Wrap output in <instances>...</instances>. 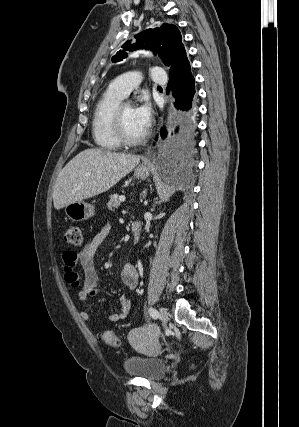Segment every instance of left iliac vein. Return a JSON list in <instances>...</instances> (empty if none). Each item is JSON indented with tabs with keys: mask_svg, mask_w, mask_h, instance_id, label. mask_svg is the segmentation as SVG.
<instances>
[{
	"mask_svg": "<svg viewBox=\"0 0 299 427\" xmlns=\"http://www.w3.org/2000/svg\"><path fill=\"white\" fill-rule=\"evenodd\" d=\"M159 312H160V319L162 321L163 326L165 327L168 322V312L163 307L160 308Z\"/></svg>",
	"mask_w": 299,
	"mask_h": 427,
	"instance_id": "1",
	"label": "left iliac vein"
}]
</instances>
